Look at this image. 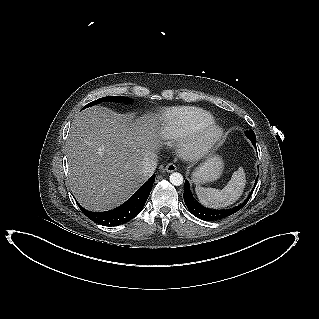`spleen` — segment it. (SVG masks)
I'll return each mask as SVG.
<instances>
[{
	"instance_id": "obj_1",
	"label": "spleen",
	"mask_w": 319,
	"mask_h": 319,
	"mask_svg": "<svg viewBox=\"0 0 319 319\" xmlns=\"http://www.w3.org/2000/svg\"><path fill=\"white\" fill-rule=\"evenodd\" d=\"M245 174L243 167H239L222 190L197 186L195 191L199 201L212 208H221L233 204L244 191L246 185Z\"/></svg>"
}]
</instances>
